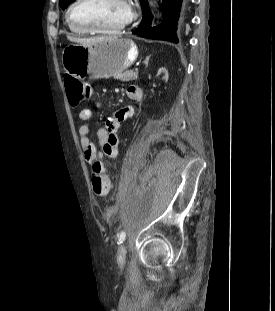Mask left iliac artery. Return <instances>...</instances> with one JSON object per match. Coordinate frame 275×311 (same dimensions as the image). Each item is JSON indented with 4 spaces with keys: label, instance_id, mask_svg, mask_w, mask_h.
Wrapping results in <instances>:
<instances>
[{
    "label": "left iliac artery",
    "instance_id": "44dca946",
    "mask_svg": "<svg viewBox=\"0 0 275 311\" xmlns=\"http://www.w3.org/2000/svg\"><path fill=\"white\" fill-rule=\"evenodd\" d=\"M126 238V233L125 231H122L120 234H119V243H122Z\"/></svg>",
    "mask_w": 275,
    "mask_h": 311
}]
</instances>
